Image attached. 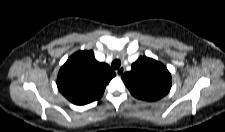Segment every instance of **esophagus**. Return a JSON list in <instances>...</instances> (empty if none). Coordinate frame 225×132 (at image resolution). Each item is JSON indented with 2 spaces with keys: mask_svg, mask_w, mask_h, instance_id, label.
Returning a JSON list of instances; mask_svg holds the SVG:
<instances>
[{
  "mask_svg": "<svg viewBox=\"0 0 225 132\" xmlns=\"http://www.w3.org/2000/svg\"><path fill=\"white\" fill-rule=\"evenodd\" d=\"M125 69L124 67H120L116 70L117 76H121L124 73Z\"/></svg>",
  "mask_w": 225,
  "mask_h": 132,
  "instance_id": "34e87169",
  "label": "esophagus"
}]
</instances>
